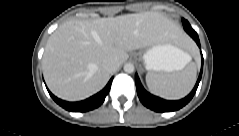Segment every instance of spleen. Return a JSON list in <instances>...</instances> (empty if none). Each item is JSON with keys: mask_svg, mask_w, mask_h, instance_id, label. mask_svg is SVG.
I'll use <instances>...</instances> for the list:
<instances>
[{"mask_svg": "<svg viewBox=\"0 0 239 136\" xmlns=\"http://www.w3.org/2000/svg\"><path fill=\"white\" fill-rule=\"evenodd\" d=\"M187 58L188 61L185 65L191 60L189 55H187ZM196 73V66L193 64L181 71L169 74L148 72L146 84L154 94L166 99H179L186 96L193 88L196 81Z\"/></svg>", "mask_w": 239, "mask_h": 136, "instance_id": "obj_1", "label": "spleen"}]
</instances>
